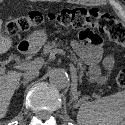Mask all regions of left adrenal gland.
Segmentation results:
<instances>
[{"mask_svg": "<svg viewBox=\"0 0 125 125\" xmlns=\"http://www.w3.org/2000/svg\"><path fill=\"white\" fill-rule=\"evenodd\" d=\"M75 100H76V96H75V94H73V97L71 98L70 103L75 101Z\"/></svg>", "mask_w": 125, "mask_h": 125, "instance_id": "1", "label": "left adrenal gland"}]
</instances>
